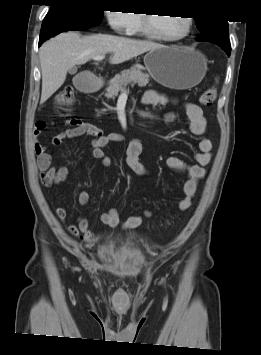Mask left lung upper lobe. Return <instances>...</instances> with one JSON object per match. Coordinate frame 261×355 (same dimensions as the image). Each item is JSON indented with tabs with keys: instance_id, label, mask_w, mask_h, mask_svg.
Masks as SVG:
<instances>
[{
	"instance_id": "obj_1",
	"label": "left lung upper lobe",
	"mask_w": 261,
	"mask_h": 355,
	"mask_svg": "<svg viewBox=\"0 0 261 355\" xmlns=\"http://www.w3.org/2000/svg\"><path fill=\"white\" fill-rule=\"evenodd\" d=\"M196 25L202 36L197 38L199 41H210L220 46L229 56L231 51L228 21L212 20L204 18H194Z\"/></svg>"
}]
</instances>
